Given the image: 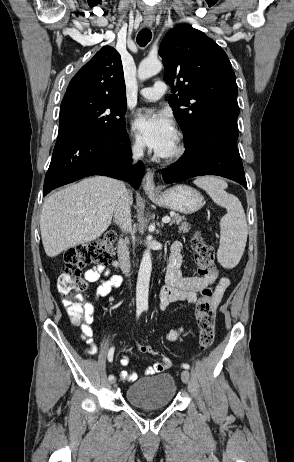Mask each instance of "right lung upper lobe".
<instances>
[{
	"instance_id": "right-lung-upper-lobe-1",
	"label": "right lung upper lobe",
	"mask_w": 294,
	"mask_h": 462,
	"mask_svg": "<svg viewBox=\"0 0 294 462\" xmlns=\"http://www.w3.org/2000/svg\"><path fill=\"white\" fill-rule=\"evenodd\" d=\"M78 96L126 99L121 56L113 47H102L75 74L63 100Z\"/></svg>"
}]
</instances>
